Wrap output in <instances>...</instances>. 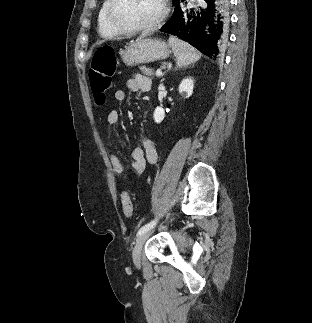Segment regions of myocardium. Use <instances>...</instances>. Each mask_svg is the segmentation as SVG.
<instances>
[{
    "label": "myocardium",
    "mask_w": 312,
    "mask_h": 323,
    "mask_svg": "<svg viewBox=\"0 0 312 323\" xmlns=\"http://www.w3.org/2000/svg\"><path fill=\"white\" fill-rule=\"evenodd\" d=\"M107 20L112 21L113 31H149V27L155 25H164L170 15L171 4L170 0H157L160 7L158 8V18H150V20H122L115 15L120 3L117 0H106Z\"/></svg>",
    "instance_id": "myocardium-1"
}]
</instances>
